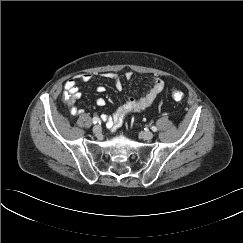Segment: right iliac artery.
<instances>
[{"label": "right iliac artery", "instance_id": "1", "mask_svg": "<svg viewBox=\"0 0 243 243\" xmlns=\"http://www.w3.org/2000/svg\"><path fill=\"white\" fill-rule=\"evenodd\" d=\"M92 122H93L94 124L100 123V119H99V117H97V116L93 117Z\"/></svg>", "mask_w": 243, "mask_h": 243}]
</instances>
